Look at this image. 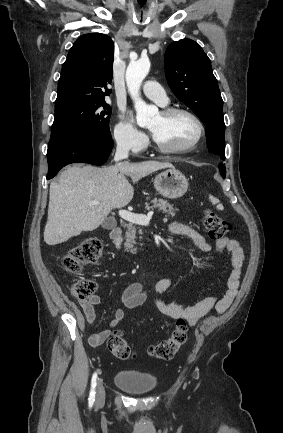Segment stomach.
Instances as JSON below:
<instances>
[{"label": "stomach", "mask_w": 283, "mask_h": 433, "mask_svg": "<svg viewBox=\"0 0 283 433\" xmlns=\"http://www.w3.org/2000/svg\"><path fill=\"white\" fill-rule=\"evenodd\" d=\"M154 186L166 198H179L188 190L189 184L186 176L180 170L168 168L155 176Z\"/></svg>", "instance_id": "0dacf381"}]
</instances>
